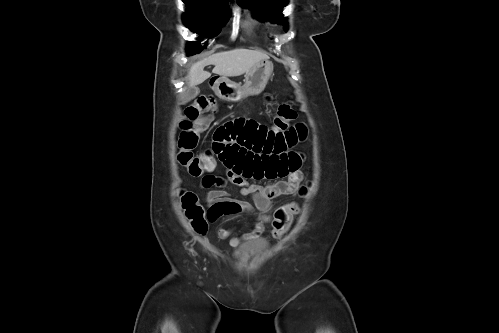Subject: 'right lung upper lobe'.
<instances>
[{
	"label": "right lung upper lobe",
	"mask_w": 499,
	"mask_h": 333,
	"mask_svg": "<svg viewBox=\"0 0 499 333\" xmlns=\"http://www.w3.org/2000/svg\"><path fill=\"white\" fill-rule=\"evenodd\" d=\"M219 1H231V0H219Z\"/></svg>",
	"instance_id": "obj_1"
}]
</instances>
